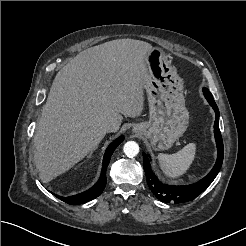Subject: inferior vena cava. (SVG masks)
Returning a JSON list of instances; mask_svg holds the SVG:
<instances>
[{"instance_id":"602c4592","label":"inferior vena cava","mask_w":246,"mask_h":246,"mask_svg":"<svg viewBox=\"0 0 246 246\" xmlns=\"http://www.w3.org/2000/svg\"><path fill=\"white\" fill-rule=\"evenodd\" d=\"M103 131L106 132H115L117 130V127L114 123L106 121L102 124Z\"/></svg>"}]
</instances>
